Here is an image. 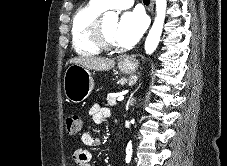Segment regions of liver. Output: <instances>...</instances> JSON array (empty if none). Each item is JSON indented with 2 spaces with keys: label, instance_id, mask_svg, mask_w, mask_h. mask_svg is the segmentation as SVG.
<instances>
[{
  "label": "liver",
  "instance_id": "liver-1",
  "mask_svg": "<svg viewBox=\"0 0 227 166\" xmlns=\"http://www.w3.org/2000/svg\"><path fill=\"white\" fill-rule=\"evenodd\" d=\"M70 63L88 70L108 71L114 67L115 60L94 56H78L70 59Z\"/></svg>",
  "mask_w": 227,
  "mask_h": 166
}]
</instances>
